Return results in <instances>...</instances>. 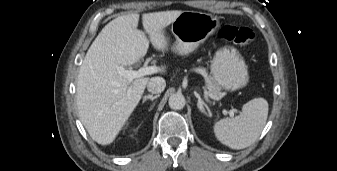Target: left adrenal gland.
Wrapping results in <instances>:
<instances>
[{"mask_svg": "<svg viewBox=\"0 0 337 171\" xmlns=\"http://www.w3.org/2000/svg\"><path fill=\"white\" fill-rule=\"evenodd\" d=\"M194 94L198 98L197 106H198L199 110L203 113H206V111H205V108H206V110L209 112V108H208L207 104L202 100L200 95L196 91L194 92Z\"/></svg>", "mask_w": 337, "mask_h": 171, "instance_id": "obj_1", "label": "left adrenal gland"}]
</instances>
